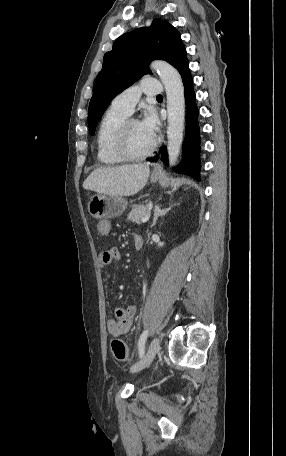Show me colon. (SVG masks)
Segmentation results:
<instances>
[{"instance_id": "1", "label": "colon", "mask_w": 286, "mask_h": 456, "mask_svg": "<svg viewBox=\"0 0 286 456\" xmlns=\"http://www.w3.org/2000/svg\"><path fill=\"white\" fill-rule=\"evenodd\" d=\"M114 357L121 362L128 359V348L126 343L121 339H114L111 343Z\"/></svg>"}]
</instances>
